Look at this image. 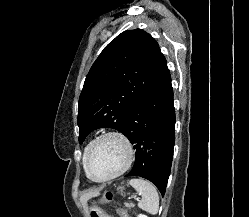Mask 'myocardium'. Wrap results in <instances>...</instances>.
I'll use <instances>...</instances> for the list:
<instances>
[{"label":"myocardium","mask_w":249,"mask_h":217,"mask_svg":"<svg viewBox=\"0 0 249 217\" xmlns=\"http://www.w3.org/2000/svg\"><path fill=\"white\" fill-rule=\"evenodd\" d=\"M107 138H116L118 139L125 147L126 149V159H125V163L124 165L115 173L104 177V178H96L92 175L90 168H89V159L90 156L95 148V146L102 140L107 139ZM134 155H135V151H134V147L132 145L131 140L121 131H117V130H109L106 131L102 134H100L99 136H97L89 145L87 152L85 154V158H84V169L85 172L87 174V176L95 181V182H108L111 180H114L115 178L121 176L122 174H124L132 165L133 160H134Z\"/></svg>","instance_id":"myocardium-1"}]
</instances>
